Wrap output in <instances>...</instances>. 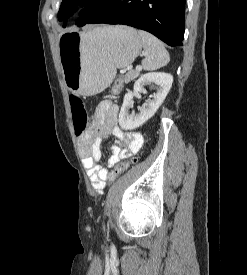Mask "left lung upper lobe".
Instances as JSON below:
<instances>
[{
	"label": "left lung upper lobe",
	"mask_w": 247,
	"mask_h": 275,
	"mask_svg": "<svg viewBox=\"0 0 247 275\" xmlns=\"http://www.w3.org/2000/svg\"><path fill=\"white\" fill-rule=\"evenodd\" d=\"M107 2L108 0H63L58 13V19L60 21L67 19L79 3L81 6L87 4V7L81 11L80 18L76 22L78 26H83ZM63 27H66V21L64 22Z\"/></svg>",
	"instance_id": "1"
}]
</instances>
